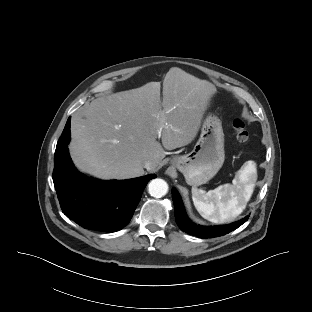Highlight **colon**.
<instances>
[{
  "instance_id": "obj_1",
  "label": "colon",
  "mask_w": 312,
  "mask_h": 312,
  "mask_svg": "<svg viewBox=\"0 0 312 312\" xmlns=\"http://www.w3.org/2000/svg\"><path fill=\"white\" fill-rule=\"evenodd\" d=\"M233 130H234V134L236 137V140L242 144V145H247L249 143V132L246 128L245 123L240 120V119H236L233 122Z\"/></svg>"
}]
</instances>
